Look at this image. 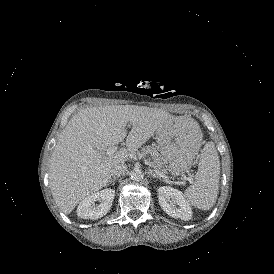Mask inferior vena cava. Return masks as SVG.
<instances>
[{"label": "inferior vena cava", "mask_w": 274, "mask_h": 274, "mask_svg": "<svg viewBox=\"0 0 274 274\" xmlns=\"http://www.w3.org/2000/svg\"><path fill=\"white\" fill-rule=\"evenodd\" d=\"M127 166L125 164H119L114 167L111 172L112 177L119 178L123 174H125Z\"/></svg>", "instance_id": "inferior-vena-cava-1"}]
</instances>
